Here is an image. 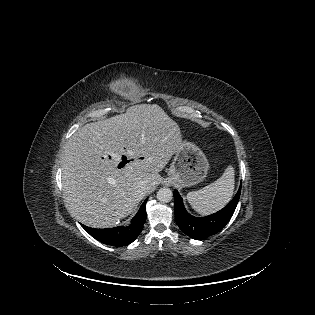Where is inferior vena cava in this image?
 Instances as JSON below:
<instances>
[{
  "instance_id": "inferior-vena-cava-1",
  "label": "inferior vena cava",
  "mask_w": 315,
  "mask_h": 315,
  "mask_svg": "<svg viewBox=\"0 0 315 315\" xmlns=\"http://www.w3.org/2000/svg\"><path fill=\"white\" fill-rule=\"evenodd\" d=\"M148 190V185L146 181H141L140 184L137 186V193L138 194H145Z\"/></svg>"
}]
</instances>
